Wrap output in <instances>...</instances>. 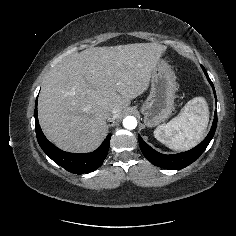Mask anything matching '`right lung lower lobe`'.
<instances>
[{
  "instance_id": "right-lung-lower-lobe-1",
  "label": "right lung lower lobe",
  "mask_w": 236,
  "mask_h": 236,
  "mask_svg": "<svg viewBox=\"0 0 236 236\" xmlns=\"http://www.w3.org/2000/svg\"><path fill=\"white\" fill-rule=\"evenodd\" d=\"M35 130L38 143L42 150L58 165L75 174H87L99 168L107 156L110 147L109 133L101 146L91 153L77 154L60 150L49 142L41 131L37 117V100L35 103Z\"/></svg>"
}]
</instances>
